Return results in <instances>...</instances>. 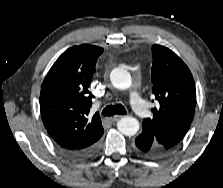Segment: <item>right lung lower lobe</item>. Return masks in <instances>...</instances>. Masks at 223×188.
<instances>
[{"label":"right lung lower lobe","instance_id":"1","mask_svg":"<svg viewBox=\"0 0 223 188\" xmlns=\"http://www.w3.org/2000/svg\"><path fill=\"white\" fill-rule=\"evenodd\" d=\"M98 141L86 148H82V149H67V148H63L58 146L59 150L68 158L72 159V160H76V161H84L87 159H90L91 157H93L97 150H98Z\"/></svg>","mask_w":223,"mask_h":188}]
</instances>
